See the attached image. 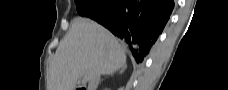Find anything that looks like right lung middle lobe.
Returning a JSON list of instances; mask_svg holds the SVG:
<instances>
[{"label":"right lung middle lobe","mask_w":228,"mask_h":90,"mask_svg":"<svg viewBox=\"0 0 228 90\" xmlns=\"http://www.w3.org/2000/svg\"><path fill=\"white\" fill-rule=\"evenodd\" d=\"M78 14L86 17H96L106 4V0H75Z\"/></svg>","instance_id":"1"}]
</instances>
